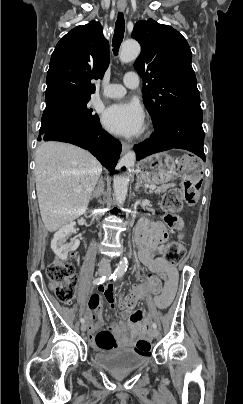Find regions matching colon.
<instances>
[{
  "mask_svg": "<svg viewBox=\"0 0 243 404\" xmlns=\"http://www.w3.org/2000/svg\"><path fill=\"white\" fill-rule=\"evenodd\" d=\"M179 170L182 177L181 187L168 190L162 200L165 222L170 228L177 231H181L183 227V222L178 212L182 209L184 203L192 206L198 201L202 183L200 166L191 155L184 156L181 159ZM185 253V247L180 242H170L165 249V260L172 265L178 264L184 258ZM46 275L54 295L61 302L71 303L74 299L77 282L74 264L71 261L56 259L47 266ZM160 290L161 283L159 279L149 275L144 279L140 287L131 291L120 301V308L124 315L130 316L142 296L156 294ZM94 342L97 348L103 350H111L117 346L116 339L109 330L99 332L95 336ZM136 346L141 352L147 353L151 349V342L143 337L137 341Z\"/></svg>",
  "mask_w": 243,
  "mask_h": 404,
  "instance_id": "obj_1",
  "label": "colon"
}]
</instances>
